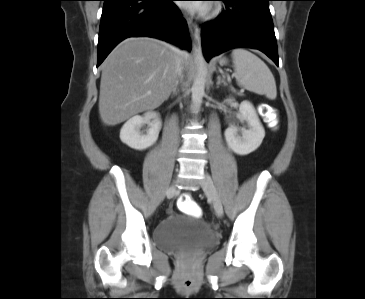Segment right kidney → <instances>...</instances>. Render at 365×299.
<instances>
[{"label":"right kidney","instance_id":"1","mask_svg":"<svg viewBox=\"0 0 365 299\" xmlns=\"http://www.w3.org/2000/svg\"><path fill=\"white\" fill-rule=\"evenodd\" d=\"M153 119L151 122L150 120ZM149 123V129L145 135L141 134L139 127ZM161 129V121L155 112H148L144 116L130 118L121 128L120 139L130 148L144 150L152 146L158 139Z\"/></svg>","mask_w":365,"mask_h":299}]
</instances>
